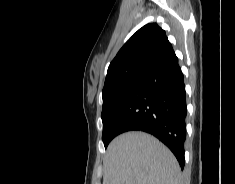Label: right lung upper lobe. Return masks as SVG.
<instances>
[{
    "mask_svg": "<svg viewBox=\"0 0 235 184\" xmlns=\"http://www.w3.org/2000/svg\"><path fill=\"white\" fill-rule=\"evenodd\" d=\"M174 51L166 33L156 23L139 29L109 65L102 94L134 77H145Z\"/></svg>",
    "mask_w": 235,
    "mask_h": 184,
    "instance_id": "right-lung-upper-lobe-1",
    "label": "right lung upper lobe"
}]
</instances>
